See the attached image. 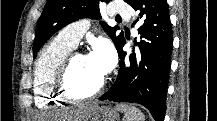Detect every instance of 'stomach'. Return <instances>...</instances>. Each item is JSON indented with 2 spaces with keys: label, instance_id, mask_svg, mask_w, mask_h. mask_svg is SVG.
Here are the masks:
<instances>
[{
  "label": "stomach",
  "instance_id": "obj_1",
  "mask_svg": "<svg viewBox=\"0 0 217 121\" xmlns=\"http://www.w3.org/2000/svg\"><path fill=\"white\" fill-rule=\"evenodd\" d=\"M119 114L109 106L95 105L87 115L86 121H118Z\"/></svg>",
  "mask_w": 217,
  "mask_h": 121
}]
</instances>
